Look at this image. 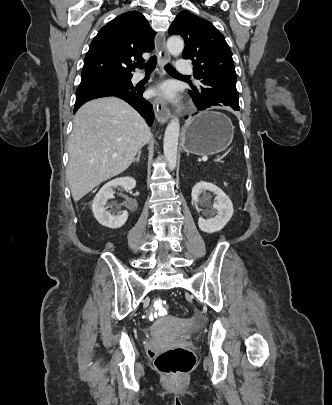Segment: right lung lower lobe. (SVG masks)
Instances as JSON below:
<instances>
[{
  "label": "right lung lower lobe",
  "mask_w": 332,
  "mask_h": 405,
  "mask_svg": "<svg viewBox=\"0 0 332 405\" xmlns=\"http://www.w3.org/2000/svg\"><path fill=\"white\" fill-rule=\"evenodd\" d=\"M144 87H134L132 84H118L112 82H95L79 86L76 91V102L74 113L87 101L106 97L116 96L128 102L145 118L151 126L154 119L152 105L142 97Z\"/></svg>",
  "instance_id": "1"
}]
</instances>
